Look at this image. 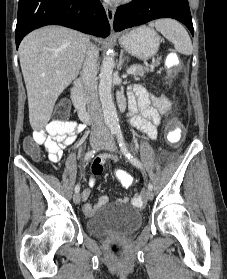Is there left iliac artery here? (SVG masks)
<instances>
[{"instance_id":"1","label":"left iliac artery","mask_w":227,"mask_h":279,"mask_svg":"<svg viewBox=\"0 0 227 279\" xmlns=\"http://www.w3.org/2000/svg\"><path fill=\"white\" fill-rule=\"evenodd\" d=\"M116 137L117 140L119 142V146H120V150L122 151V153L125 155V157L136 167L138 168H142V164L141 162L134 157L130 151L128 150V147L125 143L124 137H123V133L121 131V129H117L116 130ZM148 189L152 190L153 189V185L151 183L148 184Z\"/></svg>"}]
</instances>
